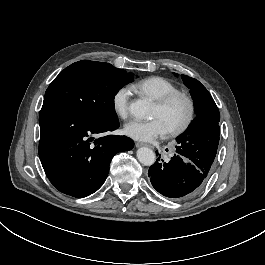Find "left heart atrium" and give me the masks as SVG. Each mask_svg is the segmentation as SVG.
Returning <instances> with one entry per match:
<instances>
[{
    "label": "left heart atrium",
    "mask_w": 265,
    "mask_h": 265,
    "mask_svg": "<svg viewBox=\"0 0 265 265\" xmlns=\"http://www.w3.org/2000/svg\"><path fill=\"white\" fill-rule=\"evenodd\" d=\"M167 132L164 124L153 118L149 121L132 120L124 127V133L137 141H153Z\"/></svg>",
    "instance_id": "39dd6f15"
}]
</instances>
